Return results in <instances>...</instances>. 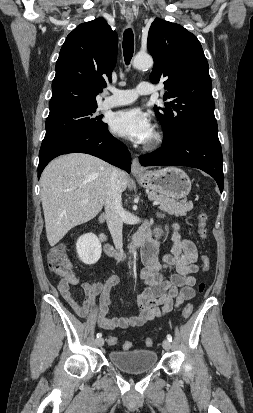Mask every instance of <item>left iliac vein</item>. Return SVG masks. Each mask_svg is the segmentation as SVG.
Here are the masks:
<instances>
[{"label": "left iliac vein", "instance_id": "1", "mask_svg": "<svg viewBox=\"0 0 253 413\" xmlns=\"http://www.w3.org/2000/svg\"><path fill=\"white\" fill-rule=\"evenodd\" d=\"M162 346H163V348L166 350V351H168V350H170V342L168 341V340H163V342H162Z\"/></svg>", "mask_w": 253, "mask_h": 413}]
</instances>
